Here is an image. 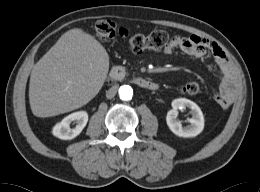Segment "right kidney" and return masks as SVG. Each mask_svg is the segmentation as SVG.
<instances>
[{"mask_svg": "<svg viewBox=\"0 0 260 192\" xmlns=\"http://www.w3.org/2000/svg\"><path fill=\"white\" fill-rule=\"evenodd\" d=\"M72 122L76 123L74 128H70ZM87 122L88 113L86 111H77L69 114L57 123L52 129V133L59 139L71 140L82 132Z\"/></svg>", "mask_w": 260, "mask_h": 192, "instance_id": "1", "label": "right kidney"}]
</instances>
